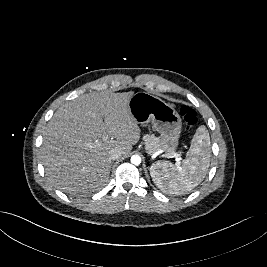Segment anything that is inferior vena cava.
Here are the masks:
<instances>
[{"mask_svg":"<svg viewBox=\"0 0 267 267\" xmlns=\"http://www.w3.org/2000/svg\"><path fill=\"white\" fill-rule=\"evenodd\" d=\"M121 156H122V152L120 150H117V149L111 150L110 154H109L110 159L113 161L121 158Z\"/></svg>","mask_w":267,"mask_h":267,"instance_id":"inferior-vena-cava-1","label":"inferior vena cava"}]
</instances>
